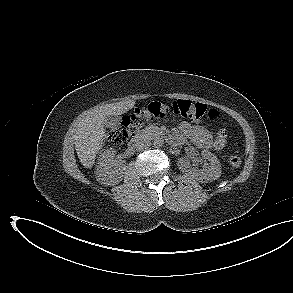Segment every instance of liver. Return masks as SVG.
Wrapping results in <instances>:
<instances>
[{
	"label": "liver",
	"instance_id": "liver-1",
	"mask_svg": "<svg viewBox=\"0 0 293 293\" xmlns=\"http://www.w3.org/2000/svg\"><path fill=\"white\" fill-rule=\"evenodd\" d=\"M135 105L134 100H125L94 108L81 115L74 124L73 133L77 156L85 168L95 163L96 154L102 149L106 130L104 121L107 116H119Z\"/></svg>",
	"mask_w": 293,
	"mask_h": 293
}]
</instances>
